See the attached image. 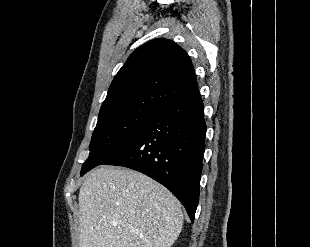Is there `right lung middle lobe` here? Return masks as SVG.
<instances>
[{
	"label": "right lung middle lobe",
	"mask_w": 310,
	"mask_h": 247,
	"mask_svg": "<svg viewBox=\"0 0 310 247\" xmlns=\"http://www.w3.org/2000/svg\"><path fill=\"white\" fill-rule=\"evenodd\" d=\"M159 109L134 106L99 115L81 176L119 150Z\"/></svg>",
	"instance_id": "obj_1"
}]
</instances>
